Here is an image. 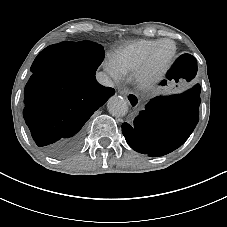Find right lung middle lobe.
Instances as JSON below:
<instances>
[{"instance_id":"obj_1","label":"right lung middle lobe","mask_w":227,"mask_h":227,"mask_svg":"<svg viewBox=\"0 0 227 227\" xmlns=\"http://www.w3.org/2000/svg\"><path fill=\"white\" fill-rule=\"evenodd\" d=\"M70 55L82 69L96 70L104 58L103 47L91 41L71 42ZM32 72L38 69L31 68Z\"/></svg>"}]
</instances>
